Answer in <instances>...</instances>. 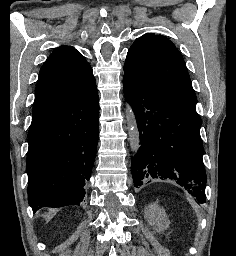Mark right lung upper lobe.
<instances>
[{"mask_svg": "<svg viewBox=\"0 0 236 256\" xmlns=\"http://www.w3.org/2000/svg\"><path fill=\"white\" fill-rule=\"evenodd\" d=\"M93 83L95 78L91 66L75 48H55L39 73L32 119L42 116Z\"/></svg>", "mask_w": 236, "mask_h": 256, "instance_id": "cb5924a9", "label": "right lung upper lobe"}]
</instances>
